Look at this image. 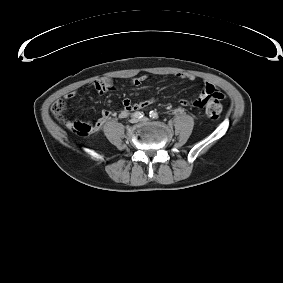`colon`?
Wrapping results in <instances>:
<instances>
[{
    "instance_id": "5ec220e1",
    "label": "colon",
    "mask_w": 283,
    "mask_h": 283,
    "mask_svg": "<svg viewBox=\"0 0 283 283\" xmlns=\"http://www.w3.org/2000/svg\"><path fill=\"white\" fill-rule=\"evenodd\" d=\"M217 101L211 103L206 109V114L211 119H218L222 113L221 100L224 98V95L220 92L216 93ZM66 103L64 100L59 99L55 101L52 105V112L57 118H63L66 112ZM72 129L75 133L79 135H88L92 132L91 124L74 122Z\"/></svg>"
}]
</instances>
